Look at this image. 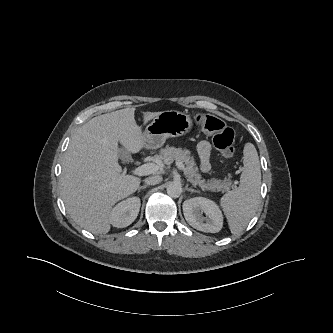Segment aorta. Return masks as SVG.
I'll return each instance as SVG.
<instances>
[{"mask_svg":"<svg viewBox=\"0 0 333 333\" xmlns=\"http://www.w3.org/2000/svg\"><path fill=\"white\" fill-rule=\"evenodd\" d=\"M182 193V188L179 184L172 183L167 187V194L172 198H178Z\"/></svg>","mask_w":333,"mask_h":333,"instance_id":"aorta-1","label":"aorta"}]
</instances>
